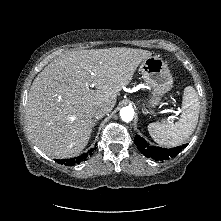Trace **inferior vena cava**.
Here are the masks:
<instances>
[{
  "mask_svg": "<svg viewBox=\"0 0 221 221\" xmlns=\"http://www.w3.org/2000/svg\"><path fill=\"white\" fill-rule=\"evenodd\" d=\"M106 113H108V108L102 105H95L90 109L91 116L96 119L102 118Z\"/></svg>",
  "mask_w": 221,
  "mask_h": 221,
  "instance_id": "1",
  "label": "inferior vena cava"
}]
</instances>
